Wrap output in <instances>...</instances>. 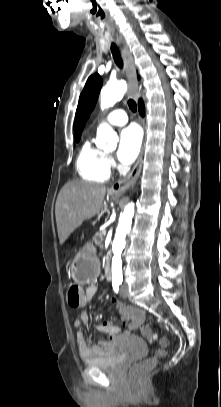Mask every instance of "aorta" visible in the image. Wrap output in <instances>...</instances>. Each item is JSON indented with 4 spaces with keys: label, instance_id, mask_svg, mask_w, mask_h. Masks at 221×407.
<instances>
[{
    "label": "aorta",
    "instance_id": "obj_1",
    "mask_svg": "<svg viewBox=\"0 0 221 407\" xmlns=\"http://www.w3.org/2000/svg\"><path fill=\"white\" fill-rule=\"evenodd\" d=\"M127 90V85L124 81H119L114 84H107L100 93V107L101 109H106L112 107L117 101L121 100ZM114 137V132L112 128L106 124L102 123L97 129L96 144L98 146H103L108 142V147L110 146V140ZM134 216V203L131 202L126 205L124 211L121 213L119 218L118 227L114 236L112 251V280L120 281L122 280V259L121 255L126 244V235L130 231L132 218Z\"/></svg>",
    "mask_w": 221,
    "mask_h": 407
}]
</instances>
